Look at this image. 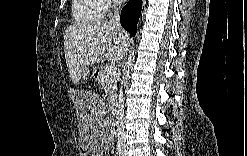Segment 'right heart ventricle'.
<instances>
[{
  "mask_svg": "<svg viewBox=\"0 0 247 156\" xmlns=\"http://www.w3.org/2000/svg\"><path fill=\"white\" fill-rule=\"evenodd\" d=\"M103 4L97 0H77L72 5L73 19L81 23H90L102 19Z\"/></svg>",
  "mask_w": 247,
  "mask_h": 156,
  "instance_id": "1",
  "label": "right heart ventricle"
}]
</instances>
